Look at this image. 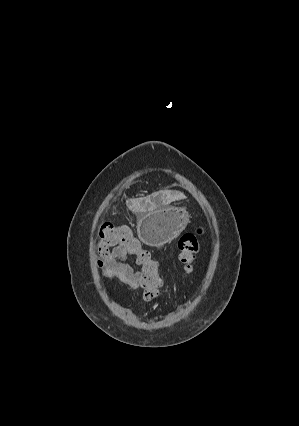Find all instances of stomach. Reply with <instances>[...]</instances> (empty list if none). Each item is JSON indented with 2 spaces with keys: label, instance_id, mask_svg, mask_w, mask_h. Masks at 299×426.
<instances>
[{
  "label": "stomach",
  "instance_id": "1",
  "mask_svg": "<svg viewBox=\"0 0 299 426\" xmlns=\"http://www.w3.org/2000/svg\"><path fill=\"white\" fill-rule=\"evenodd\" d=\"M189 218L188 212L182 207H160L148 211L137 220L138 237L149 246H162L185 230Z\"/></svg>",
  "mask_w": 299,
  "mask_h": 426
}]
</instances>
